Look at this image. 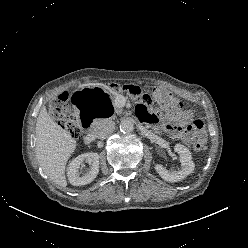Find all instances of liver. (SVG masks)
Returning a JSON list of instances; mask_svg holds the SVG:
<instances>
[{
    "instance_id": "1",
    "label": "liver",
    "mask_w": 248,
    "mask_h": 248,
    "mask_svg": "<svg viewBox=\"0 0 248 248\" xmlns=\"http://www.w3.org/2000/svg\"><path fill=\"white\" fill-rule=\"evenodd\" d=\"M35 129V153L39 165L50 180L66 188L65 168L76 148V140L51 119L45 108L39 113Z\"/></svg>"
}]
</instances>
